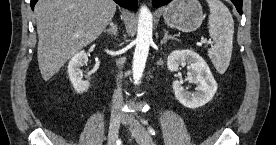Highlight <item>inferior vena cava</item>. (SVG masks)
I'll return each instance as SVG.
<instances>
[{
  "instance_id": "1",
  "label": "inferior vena cava",
  "mask_w": 276,
  "mask_h": 145,
  "mask_svg": "<svg viewBox=\"0 0 276 145\" xmlns=\"http://www.w3.org/2000/svg\"><path fill=\"white\" fill-rule=\"evenodd\" d=\"M124 62H125L124 60L120 59L117 61V65L121 68ZM117 79L118 80L122 79V74H119ZM122 104H123L122 91L118 83L117 89L114 91V94L112 96L111 113L113 116L122 115V111H121Z\"/></svg>"
}]
</instances>
